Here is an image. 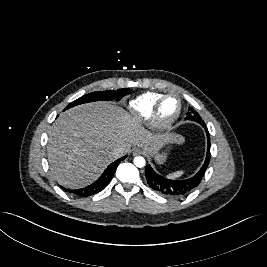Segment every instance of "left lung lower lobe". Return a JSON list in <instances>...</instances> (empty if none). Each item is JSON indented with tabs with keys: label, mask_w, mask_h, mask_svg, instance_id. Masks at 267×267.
<instances>
[{
	"label": "left lung lower lobe",
	"mask_w": 267,
	"mask_h": 267,
	"mask_svg": "<svg viewBox=\"0 0 267 267\" xmlns=\"http://www.w3.org/2000/svg\"><path fill=\"white\" fill-rule=\"evenodd\" d=\"M207 135V155L205 162L196 175L189 179L172 180L156 173L150 165L145 168V176L149 186L158 193L168 197H182L192 192L201 182L210 162V135L205 123H200Z\"/></svg>",
	"instance_id": "obj_1"
}]
</instances>
